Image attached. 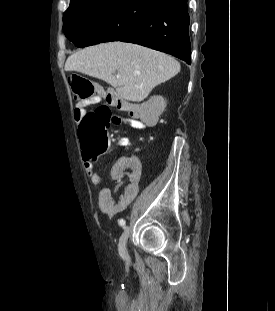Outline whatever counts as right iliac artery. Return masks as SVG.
I'll list each match as a JSON object with an SVG mask.
<instances>
[{"mask_svg": "<svg viewBox=\"0 0 275 311\" xmlns=\"http://www.w3.org/2000/svg\"><path fill=\"white\" fill-rule=\"evenodd\" d=\"M125 220L124 219H120L119 220V224H120V226H122V227H124L125 226Z\"/></svg>", "mask_w": 275, "mask_h": 311, "instance_id": "82829eb1", "label": "right iliac artery"}]
</instances>
